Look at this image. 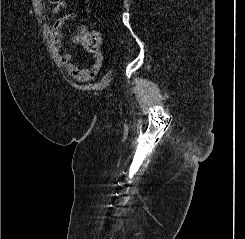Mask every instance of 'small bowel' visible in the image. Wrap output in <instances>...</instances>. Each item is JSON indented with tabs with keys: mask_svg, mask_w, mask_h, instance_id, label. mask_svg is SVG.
Listing matches in <instances>:
<instances>
[{
	"mask_svg": "<svg viewBox=\"0 0 245 239\" xmlns=\"http://www.w3.org/2000/svg\"><path fill=\"white\" fill-rule=\"evenodd\" d=\"M53 13L59 14L66 10V3L63 0H57L53 3ZM76 13L74 10L70 9L65 11L60 17H58L52 27L53 35L56 43L62 46V27L66 21H69L75 17ZM98 38L99 34L95 33ZM93 64L90 67H81L78 64L72 62L71 55L67 52L61 53V60L66 67L68 74L78 81H90L94 79L101 70L103 63V55L99 51H95L92 56Z\"/></svg>",
	"mask_w": 245,
	"mask_h": 239,
	"instance_id": "c3829d8e",
	"label": "small bowel"
}]
</instances>
